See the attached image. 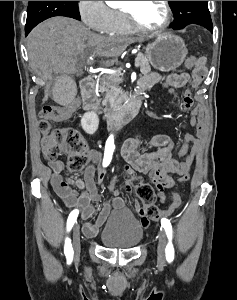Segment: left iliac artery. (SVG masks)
<instances>
[{"label":"left iliac artery","instance_id":"obj_1","mask_svg":"<svg viewBox=\"0 0 237 300\" xmlns=\"http://www.w3.org/2000/svg\"><path fill=\"white\" fill-rule=\"evenodd\" d=\"M161 225L164 228L166 235L169 239V242L165 249V253H166V259L170 263L174 259V248H173V244H172V226H171L170 221L166 218H163L161 220Z\"/></svg>","mask_w":237,"mask_h":300}]
</instances>
